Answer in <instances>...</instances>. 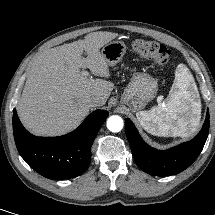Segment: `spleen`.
I'll list each match as a JSON object with an SVG mask.
<instances>
[{"label": "spleen", "instance_id": "1", "mask_svg": "<svg viewBox=\"0 0 215 215\" xmlns=\"http://www.w3.org/2000/svg\"><path fill=\"white\" fill-rule=\"evenodd\" d=\"M200 114L201 103L194 78L184 64H179L167 100L136 116L152 135L190 137L198 129Z\"/></svg>", "mask_w": 215, "mask_h": 215}]
</instances>
